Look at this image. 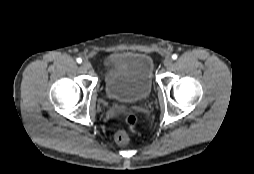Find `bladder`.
<instances>
[{"mask_svg": "<svg viewBox=\"0 0 254 174\" xmlns=\"http://www.w3.org/2000/svg\"><path fill=\"white\" fill-rule=\"evenodd\" d=\"M152 76L153 62L149 55L139 52L121 54L113 59V67L106 71V94L122 102L145 99L152 91Z\"/></svg>", "mask_w": 254, "mask_h": 174, "instance_id": "31cf9c89", "label": "bladder"}]
</instances>
